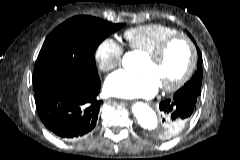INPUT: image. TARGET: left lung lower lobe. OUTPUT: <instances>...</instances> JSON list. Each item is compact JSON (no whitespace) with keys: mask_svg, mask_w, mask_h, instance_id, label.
<instances>
[{"mask_svg":"<svg viewBox=\"0 0 240 160\" xmlns=\"http://www.w3.org/2000/svg\"><path fill=\"white\" fill-rule=\"evenodd\" d=\"M199 97L189 93L176 92L172 99L160 103V110L164 113L166 122V135L173 136L179 133L191 117ZM176 121H183L182 127L175 125Z\"/></svg>","mask_w":240,"mask_h":160,"instance_id":"left-lung-lower-lobe-1","label":"left lung lower lobe"}]
</instances>
